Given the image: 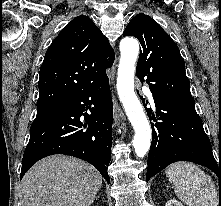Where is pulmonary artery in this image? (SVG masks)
I'll list each match as a JSON object with an SVG mask.
<instances>
[{
  "instance_id": "pulmonary-artery-1",
  "label": "pulmonary artery",
  "mask_w": 221,
  "mask_h": 206,
  "mask_svg": "<svg viewBox=\"0 0 221 206\" xmlns=\"http://www.w3.org/2000/svg\"><path fill=\"white\" fill-rule=\"evenodd\" d=\"M146 94H147L148 98L150 99V101L153 102V96H152L151 92L149 90H146Z\"/></svg>"
}]
</instances>
